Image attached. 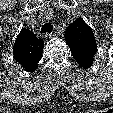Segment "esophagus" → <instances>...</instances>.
I'll return each instance as SVG.
<instances>
[{"mask_svg":"<svg viewBox=\"0 0 113 113\" xmlns=\"http://www.w3.org/2000/svg\"><path fill=\"white\" fill-rule=\"evenodd\" d=\"M55 36V34L54 33H50V34H45L44 35V38L46 39V40H48V39H50V38H52V37H54Z\"/></svg>","mask_w":113,"mask_h":113,"instance_id":"1","label":"esophagus"}]
</instances>
